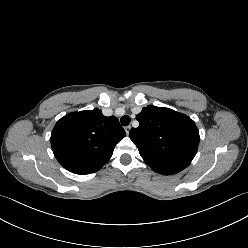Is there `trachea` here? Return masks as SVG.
I'll list each match as a JSON object with an SVG mask.
<instances>
[{"mask_svg":"<svg viewBox=\"0 0 248 248\" xmlns=\"http://www.w3.org/2000/svg\"><path fill=\"white\" fill-rule=\"evenodd\" d=\"M130 120L131 119L128 115H124L123 117H121L120 122L123 126H127V125H129Z\"/></svg>","mask_w":248,"mask_h":248,"instance_id":"trachea-1","label":"trachea"}]
</instances>
